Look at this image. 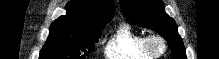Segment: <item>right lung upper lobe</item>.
Returning a JSON list of instances; mask_svg holds the SVG:
<instances>
[{"label":"right lung upper lobe","mask_w":219,"mask_h":59,"mask_svg":"<svg viewBox=\"0 0 219 59\" xmlns=\"http://www.w3.org/2000/svg\"><path fill=\"white\" fill-rule=\"evenodd\" d=\"M65 9L67 14L55 23L80 24L87 27L105 26L115 14L113 0H71Z\"/></svg>","instance_id":"obj_1"}]
</instances>
